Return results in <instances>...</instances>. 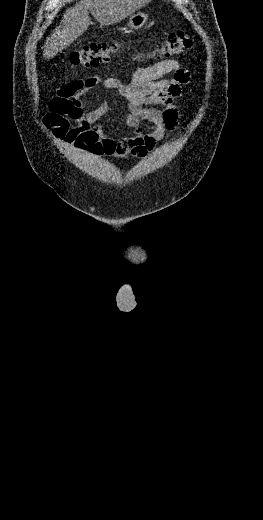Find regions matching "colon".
Returning <instances> with one entry per match:
<instances>
[{"label":"colon","instance_id":"5ec220e1","mask_svg":"<svg viewBox=\"0 0 263 520\" xmlns=\"http://www.w3.org/2000/svg\"><path fill=\"white\" fill-rule=\"evenodd\" d=\"M192 46L191 38L182 30L170 33L152 52L154 58H171L183 54ZM121 48L118 41L86 44L70 54L73 66L95 67L110 61Z\"/></svg>","mask_w":263,"mask_h":520}]
</instances>
